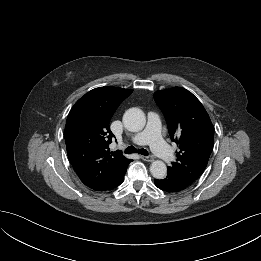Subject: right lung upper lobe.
Masks as SVG:
<instances>
[{
	"instance_id": "cb5924a9",
	"label": "right lung upper lobe",
	"mask_w": 261,
	"mask_h": 261,
	"mask_svg": "<svg viewBox=\"0 0 261 261\" xmlns=\"http://www.w3.org/2000/svg\"><path fill=\"white\" fill-rule=\"evenodd\" d=\"M132 90L113 86L95 88L70 110L64 132L68 158L81 181L93 190L115 183L132 161L117 150L110 152V120Z\"/></svg>"
}]
</instances>
